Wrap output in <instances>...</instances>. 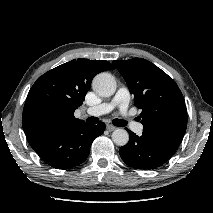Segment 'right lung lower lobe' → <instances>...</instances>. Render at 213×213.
<instances>
[{
	"mask_svg": "<svg viewBox=\"0 0 213 213\" xmlns=\"http://www.w3.org/2000/svg\"><path fill=\"white\" fill-rule=\"evenodd\" d=\"M105 124H77L67 130L47 132L31 130L26 138L34 151L50 166L69 169L83 163L93 140L103 134Z\"/></svg>",
	"mask_w": 213,
	"mask_h": 213,
	"instance_id": "obj_1",
	"label": "right lung lower lobe"
}]
</instances>
